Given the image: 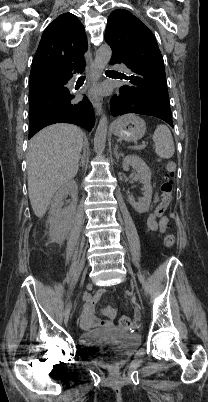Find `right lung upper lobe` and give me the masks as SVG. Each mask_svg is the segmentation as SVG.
Segmentation results:
<instances>
[{"label": "right lung upper lobe", "instance_id": "right-lung-upper-lobe-1", "mask_svg": "<svg viewBox=\"0 0 208 402\" xmlns=\"http://www.w3.org/2000/svg\"><path fill=\"white\" fill-rule=\"evenodd\" d=\"M87 49V36L79 19L71 13L58 16L43 32L32 61L30 79L71 78L83 65Z\"/></svg>", "mask_w": 208, "mask_h": 402}]
</instances>
